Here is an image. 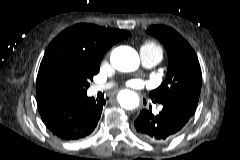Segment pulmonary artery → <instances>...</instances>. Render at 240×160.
Returning a JSON list of instances; mask_svg holds the SVG:
<instances>
[{"label":"pulmonary artery","mask_w":240,"mask_h":160,"mask_svg":"<svg viewBox=\"0 0 240 160\" xmlns=\"http://www.w3.org/2000/svg\"><path fill=\"white\" fill-rule=\"evenodd\" d=\"M140 57L142 65L146 68H151L155 65H157L161 59H162V53L153 49H148L145 47H141L140 49ZM112 86V83L107 84H98L93 87V91H101L107 88H110ZM161 110L162 108L159 107Z\"/></svg>","instance_id":"1"}]
</instances>
